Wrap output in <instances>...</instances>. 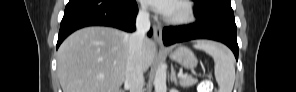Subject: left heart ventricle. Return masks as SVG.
Here are the masks:
<instances>
[{
  "instance_id": "b2bd125f",
  "label": "left heart ventricle",
  "mask_w": 296,
  "mask_h": 92,
  "mask_svg": "<svg viewBox=\"0 0 296 92\" xmlns=\"http://www.w3.org/2000/svg\"><path fill=\"white\" fill-rule=\"evenodd\" d=\"M177 12H178V7L176 6L175 9H174V11H173V13L171 15H175V14H177Z\"/></svg>"
}]
</instances>
